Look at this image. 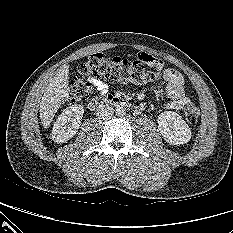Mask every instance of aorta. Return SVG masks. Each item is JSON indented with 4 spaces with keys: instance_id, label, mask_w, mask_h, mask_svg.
Wrapping results in <instances>:
<instances>
[{
    "instance_id": "obj_1",
    "label": "aorta",
    "mask_w": 233,
    "mask_h": 233,
    "mask_svg": "<svg viewBox=\"0 0 233 233\" xmlns=\"http://www.w3.org/2000/svg\"><path fill=\"white\" fill-rule=\"evenodd\" d=\"M115 113L118 116H123L126 114V105L124 103H119L115 107Z\"/></svg>"
}]
</instances>
